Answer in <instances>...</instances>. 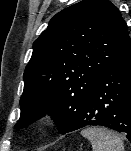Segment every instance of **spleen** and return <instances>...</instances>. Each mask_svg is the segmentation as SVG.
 I'll list each match as a JSON object with an SVG mask.
<instances>
[{
    "instance_id": "obj_1",
    "label": "spleen",
    "mask_w": 131,
    "mask_h": 151,
    "mask_svg": "<svg viewBox=\"0 0 131 151\" xmlns=\"http://www.w3.org/2000/svg\"><path fill=\"white\" fill-rule=\"evenodd\" d=\"M81 135L89 140L93 151H124L121 138L105 128H87Z\"/></svg>"
}]
</instances>
